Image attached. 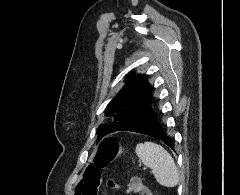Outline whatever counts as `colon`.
<instances>
[{"mask_svg":"<svg viewBox=\"0 0 240 195\" xmlns=\"http://www.w3.org/2000/svg\"><path fill=\"white\" fill-rule=\"evenodd\" d=\"M120 153V144L115 138L104 139L95 154V166H88L85 173V186H77L76 195H96L103 183L100 170L106 168Z\"/></svg>","mask_w":240,"mask_h":195,"instance_id":"obj_1","label":"colon"}]
</instances>
